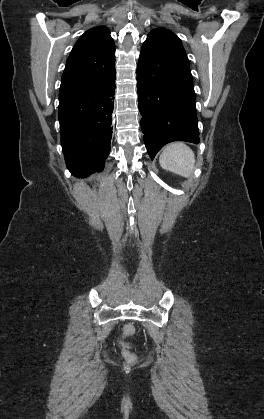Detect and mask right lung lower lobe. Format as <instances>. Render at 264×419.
I'll list each match as a JSON object with an SVG mask.
<instances>
[{
	"label": "right lung lower lobe",
	"instance_id": "1",
	"mask_svg": "<svg viewBox=\"0 0 264 419\" xmlns=\"http://www.w3.org/2000/svg\"><path fill=\"white\" fill-rule=\"evenodd\" d=\"M115 76L114 72L102 82L59 92L62 150L67 168L76 177L104 168L112 137Z\"/></svg>",
	"mask_w": 264,
	"mask_h": 419
}]
</instances>
